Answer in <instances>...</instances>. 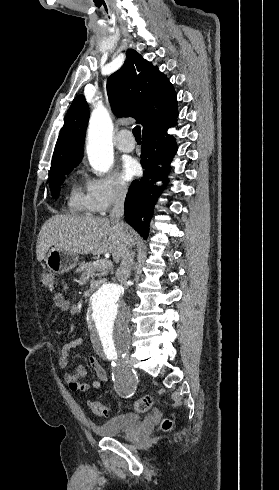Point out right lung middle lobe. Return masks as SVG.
Wrapping results in <instances>:
<instances>
[{"instance_id":"right-lung-middle-lobe-1","label":"right lung middle lobe","mask_w":279,"mask_h":490,"mask_svg":"<svg viewBox=\"0 0 279 490\" xmlns=\"http://www.w3.org/2000/svg\"><path fill=\"white\" fill-rule=\"evenodd\" d=\"M77 165L78 164L58 168V169L50 172L49 186H50L52 196L54 198L57 199L59 197L60 185L63 183V181L65 179V175L70 173L73 170V168L76 167Z\"/></svg>"}]
</instances>
